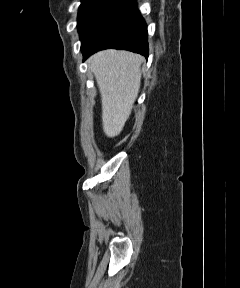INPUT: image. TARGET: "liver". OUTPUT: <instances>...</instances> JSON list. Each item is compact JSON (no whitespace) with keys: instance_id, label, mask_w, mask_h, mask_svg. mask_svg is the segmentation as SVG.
Returning <instances> with one entry per match:
<instances>
[{"instance_id":"1","label":"liver","mask_w":240,"mask_h":288,"mask_svg":"<svg viewBox=\"0 0 240 288\" xmlns=\"http://www.w3.org/2000/svg\"><path fill=\"white\" fill-rule=\"evenodd\" d=\"M144 57L114 49L96 53L90 69L101 94L102 125L108 137L120 134L137 99Z\"/></svg>"}]
</instances>
